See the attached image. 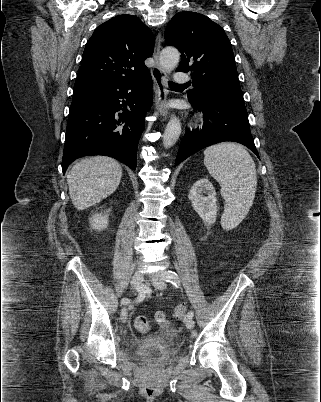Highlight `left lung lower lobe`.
Returning <instances> with one entry per match:
<instances>
[{"mask_svg":"<svg viewBox=\"0 0 321 402\" xmlns=\"http://www.w3.org/2000/svg\"><path fill=\"white\" fill-rule=\"evenodd\" d=\"M189 101L195 110L203 112L205 122L202 129L186 131L175 165L205 147L224 141L241 143L259 158L241 89H212L197 101Z\"/></svg>","mask_w":321,"mask_h":402,"instance_id":"left-lung-lower-lobe-1","label":"left lung lower lobe"}]
</instances>
